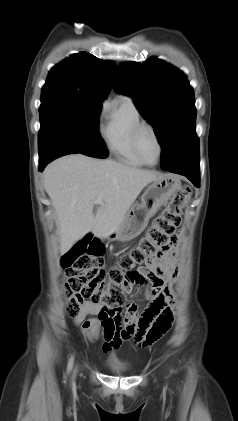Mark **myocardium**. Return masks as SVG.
Returning <instances> with one entry per match:
<instances>
[{
    "mask_svg": "<svg viewBox=\"0 0 238 421\" xmlns=\"http://www.w3.org/2000/svg\"><path fill=\"white\" fill-rule=\"evenodd\" d=\"M144 130H149L152 133V135H153V137L156 141L157 147H158L157 159L153 163L148 162L145 159V157H144V155L141 151L140 137H141V134ZM133 147H134V150H135L137 156L140 158V160L145 165H148V166H154L158 163V161L160 160V157L162 155V150H163L162 143H161V140H160V137L158 135L157 130L155 129V127L151 123H149L147 121H142L135 127V129L133 131Z\"/></svg>",
    "mask_w": 238,
    "mask_h": 421,
    "instance_id": "1",
    "label": "myocardium"
}]
</instances>
